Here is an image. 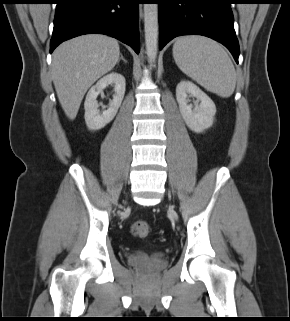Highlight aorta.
<instances>
[{
    "label": "aorta",
    "instance_id": "aorta-1",
    "mask_svg": "<svg viewBox=\"0 0 290 321\" xmlns=\"http://www.w3.org/2000/svg\"><path fill=\"white\" fill-rule=\"evenodd\" d=\"M144 32L146 55L150 64L155 63L158 51V5L144 4Z\"/></svg>",
    "mask_w": 290,
    "mask_h": 321
}]
</instances>
